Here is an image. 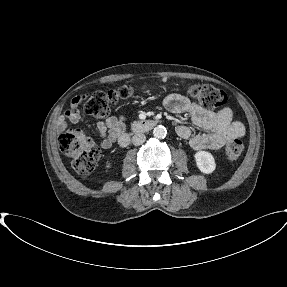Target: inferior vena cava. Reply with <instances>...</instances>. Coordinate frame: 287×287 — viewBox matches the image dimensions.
<instances>
[{"mask_svg": "<svg viewBox=\"0 0 287 287\" xmlns=\"http://www.w3.org/2000/svg\"><path fill=\"white\" fill-rule=\"evenodd\" d=\"M145 140H146V136L144 134H141V133L135 134L132 137V143L135 146H139V145L143 144L145 142Z\"/></svg>", "mask_w": 287, "mask_h": 287, "instance_id": "inferior-vena-cava-1", "label": "inferior vena cava"}]
</instances>
